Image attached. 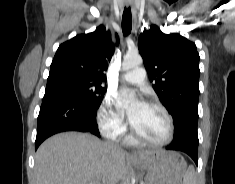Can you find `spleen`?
Wrapping results in <instances>:
<instances>
[{"label": "spleen", "mask_w": 235, "mask_h": 184, "mask_svg": "<svg viewBox=\"0 0 235 184\" xmlns=\"http://www.w3.org/2000/svg\"><path fill=\"white\" fill-rule=\"evenodd\" d=\"M196 178L197 174L194 170V166H189L187 172H185L182 184H196Z\"/></svg>", "instance_id": "1"}]
</instances>
